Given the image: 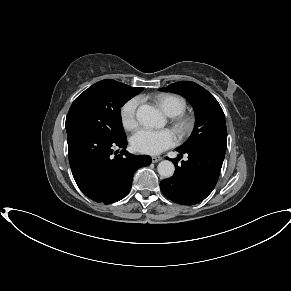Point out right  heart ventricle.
I'll list each match as a JSON object with an SVG mask.
<instances>
[{
    "instance_id": "e07e8e85",
    "label": "right heart ventricle",
    "mask_w": 291,
    "mask_h": 291,
    "mask_svg": "<svg viewBox=\"0 0 291 291\" xmlns=\"http://www.w3.org/2000/svg\"><path fill=\"white\" fill-rule=\"evenodd\" d=\"M156 105L168 116L181 114L186 109V101L183 97L172 93H160L154 96Z\"/></svg>"
}]
</instances>
